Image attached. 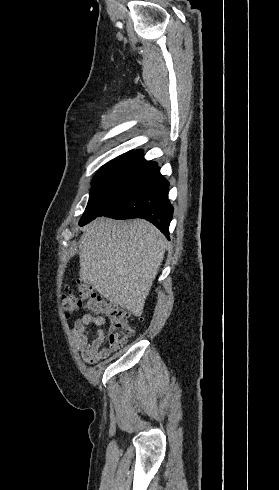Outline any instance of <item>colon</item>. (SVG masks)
I'll return each instance as SVG.
<instances>
[{
	"mask_svg": "<svg viewBox=\"0 0 279 490\" xmlns=\"http://www.w3.org/2000/svg\"><path fill=\"white\" fill-rule=\"evenodd\" d=\"M62 306L69 314L76 313L83 306L89 313L105 319L108 322L107 337L111 350L121 349L135 333V327L128 321L127 314L103 300L90 284H81L78 296L65 288L62 292Z\"/></svg>",
	"mask_w": 279,
	"mask_h": 490,
	"instance_id": "1",
	"label": "colon"
}]
</instances>
